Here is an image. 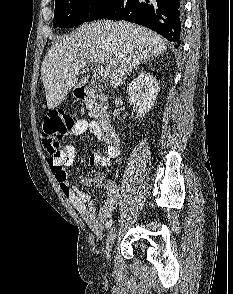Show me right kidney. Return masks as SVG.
<instances>
[{
  "instance_id": "ca27d5eb",
  "label": "right kidney",
  "mask_w": 233,
  "mask_h": 294,
  "mask_svg": "<svg viewBox=\"0 0 233 294\" xmlns=\"http://www.w3.org/2000/svg\"><path fill=\"white\" fill-rule=\"evenodd\" d=\"M159 92L158 81L148 72H141L127 87L129 103L136 108V117L145 116L152 108Z\"/></svg>"
}]
</instances>
